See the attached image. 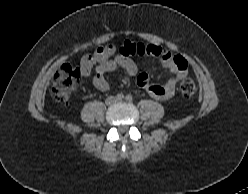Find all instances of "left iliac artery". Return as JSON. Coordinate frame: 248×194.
<instances>
[{"mask_svg": "<svg viewBox=\"0 0 248 194\" xmlns=\"http://www.w3.org/2000/svg\"><path fill=\"white\" fill-rule=\"evenodd\" d=\"M126 101L128 102H131L133 100V97L132 95L128 94L126 97H125Z\"/></svg>", "mask_w": 248, "mask_h": 194, "instance_id": "44dca946", "label": "left iliac artery"}]
</instances>
